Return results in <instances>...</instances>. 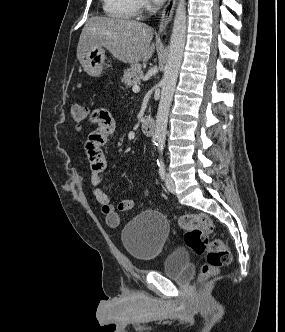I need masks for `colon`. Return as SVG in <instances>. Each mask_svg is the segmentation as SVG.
Returning a JSON list of instances; mask_svg holds the SVG:
<instances>
[{"instance_id": "1", "label": "colon", "mask_w": 285, "mask_h": 332, "mask_svg": "<svg viewBox=\"0 0 285 332\" xmlns=\"http://www.w3.org/2000/svg\"><path fill=\"white\" fill-rule=\"evenodd\" d=\"M90 108L84 103H75L71 107V118L77 126H82L84 116L88 115ZM179 226L184 233L186 245L195 253H206V262L200 269L201 277H208L231 261L228 246L220 239H209L213 231V223L208 215L188 214L179 219Z\"/></svg>"}]
</instances>
